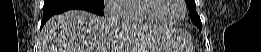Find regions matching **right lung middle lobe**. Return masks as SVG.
Wrapping results in <instances>:
<instances>
[{
    "instance_id": "obj_1",
    "label": "right lung middle lobe",
    "mask_w": 261,
    "mask_h": 52,
    "mask_svg": "<svg viewBox=\"0 0 261 52\" xmlns=\"http://www.w3.org/2000/svg\"><path fill=\"white\" fill-rule=\"evenodd\" d=\"M71 2L80 3L85 6L102 10L104 8V0H69Z\"/></svg>"
}]
</instances>
